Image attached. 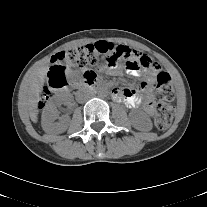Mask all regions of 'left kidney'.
Returning a JSON list of instances; mask_svg holds the SVG:
<instances>
[{
  "label": "left kidney",
  "instance_id": "1",
  "mask_svg": "<svg viewBox=\"0 0 207 207\" xmlns=\"http://www.w3.org/2000/svg\"><path fill=\"white\" fill-rule=\"evenodd\" d=\"M129 117L135 129L140 131H150L152 129V121L144 112L132 111Z\"/></svg>",
  "mask_w": 207,
  "mask_h": 207
}]
</instances>
